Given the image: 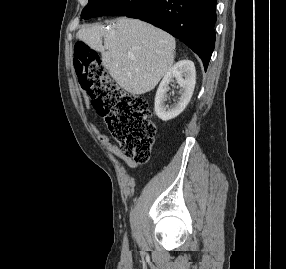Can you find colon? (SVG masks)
Listing matches in <instances>:
<instances>
[{"label": "colon", "instance_id": "colon-1", "mask_svg": "<svg viewBox=\"0 0 286 269\" xmlns=\"http://www.w3.org/2000/svg\"><path fill=\"white\" fill-rule=\"evenodd\" d=\"M73 63L81 87L105 119L121 153L136 162H147L156 137L148 100L117 87L98 54L84 42L75 43Z\"/></svg>", "mask_w": 286, "mask_h": 269}]
</instances>
